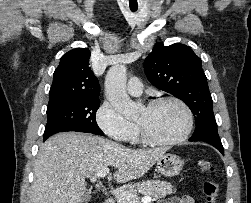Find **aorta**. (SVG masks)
I'll list each match as a JSON object with an SVG mask.
<instances>
[{"label":"aorta","mask_w":251,"mask_h":203,"mask_svg":"<svg viewBox=\"0 0 251 203\" xmlns=\"http://www.w3.org/2000/svg\"><path fill=\"white\" fill-rule=\"evenodd\" d=\"M127 68L125 65L112 66L105 78L106 97L125 118L132 119L139 114L140 106L133 102L126 92Z\"/></svg>","instance_id":"aorta-1"}]
</instances>
